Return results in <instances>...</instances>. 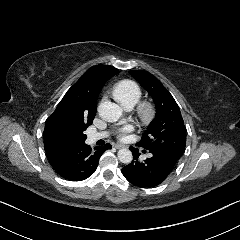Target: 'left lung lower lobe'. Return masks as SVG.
Masks as SVG:
<instances>
[{
  "mask_svg": "<svg viewBox=\"0 0 240 240\" xmlns=\"http://www.w3.org/2000/svg\"><path fill=\"white\" fill-rule=\"evenodd\" d=\"M133 153V161L122 168L125 178L133 185L149 188L161 184L174 169L177 160L166 156L161 150H148L151 158L140 162L138 149L130 147Z\"/></svg>",
  "mask_w": 240,
  "mask_h": 240,
  "instance_id": "1",
  "label": "left lung lower lobe"
}]
</instances>
